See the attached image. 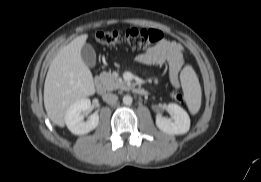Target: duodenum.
Here are the masks:
<instances>
[{"instance_id": "obj_1", "label": "duodenum", "mask_w": 261, "mask_h": 182, "mask_svg": "<svg viewBox=\"0 0 261 182\" xmlns=\"http://www.w3.org/2000/svg\"><path fill=\"white\" fill-rule=\"evenodd\" d=\"M96 90L100 94L105 92V85H104L103 81H101L100 79L96 80ZM132 91L135 94L140 95V96H145L148 94L146 89H144L142 87H138V86L132 87Z\"/></svg>"}]
</instances>
